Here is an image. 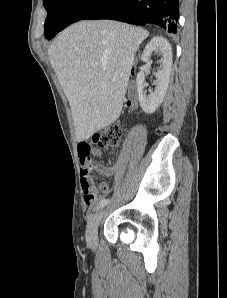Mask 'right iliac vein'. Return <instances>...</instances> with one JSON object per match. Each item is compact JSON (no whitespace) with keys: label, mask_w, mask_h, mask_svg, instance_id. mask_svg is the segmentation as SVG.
<instances>
[{"label":"right iliac vein","mask_w":227,"mask_h":298,"mask_svg":"<svg viewBox=\"0 0 227 298\" xmlns=\"http://www.w3.org/2000/svg\"><path fill=\"white\" fill-rule=\"evenodd\" d=\"M104 210H98L89 220L86 228V241L91 247L96 246L98 239V227L103 218Z\"/></svg>","instance_id":"right-iliac-vein-1"}]
</instances>
